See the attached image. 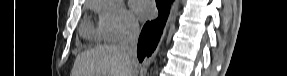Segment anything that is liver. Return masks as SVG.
Listing matches in <instances>:
<instances>
[{
	"mask_svg": "<svg viewBox=\"0 0 287 76\" xmlns=\"http://www.w3.org/2000/svg\"><path fill=\"white\" fill-rule=\"evenodd\" d=\"M73 76H133L132 65L117 45H105L81 53L73 67Z\"/></svg>",
	"mask_w": 287,
	"mask_h": 76,
	"instance_id": "6515ba94",
	"label": "liver"
}]
</instances>
